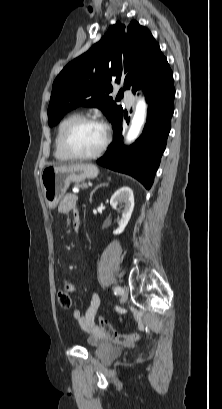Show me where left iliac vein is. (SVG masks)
Masks as SVG:
<instances>
[{"mask_svg":"<svg viewBox=\"0 0 222 409\" xmlns=\"http://www.w3.org/2000/svg\"><path fill=\"white\" fill-rule=\"evenodd\" d=\"M121 301L125 302L128 298V292L126 288H121Z\"/></svg>","mask_w":222,"mask_h":409,"instance_id":"4c4485c4","label":"left iliac vein"}]
</instances>
